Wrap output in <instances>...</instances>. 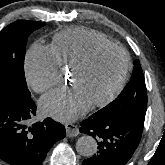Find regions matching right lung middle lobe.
I'll return each instance as SVG.
<instances>
[{"label":"right lung middle lobe","mask_w":165,"mask_h":165,"mask_svg":"<svg viewBox=\"0 0 165 165\" xmlns=\"http://www.w3.org/2000/svg\"><path fill=\"white\" fill-rule=\"evenodd\" d=\"M45 23L18 20L0 31V88L17 89L27 95L24 58L28 36Z\"/></svg>","instance_id":"obj_1"}]
</instances>
